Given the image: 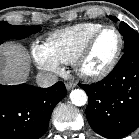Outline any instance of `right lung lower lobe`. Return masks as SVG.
I'll return each instance as SVG.
<instances>
[{
	"label": "right lung lower lobe",
	"instance_id": "1",
	"mask_svg": "<svg viewBox=\"0 0 139 139\" xmlns=\"http://www.w3.org/2000/svg\"><path fill=\"white\" fill-rule=\"evenodd\" d=\"M66 94L63 82L49 88L0 85V139L40 138L54 107Z\"/></svg>",
	"mask_w": 139,
	"mask_h": 139
}]
</instances>
